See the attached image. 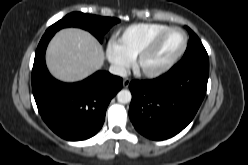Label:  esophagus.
I'll use <instances>...</instances> for the list:
<instances>
[{"label": "esophagus", "instance_id": "34e87169", "mask_svg": "<svg viewBox=\"0 0 248 165\" xmlns=\"http://www.w3.org/2000/svg\"><path fill=\"white\" fill-rule=\"evenodd\" d=\"M130 82H131V80L129 78H125L123 80V87L127 88L129 86Z\"/></svg>", "mask_w": 248, "mask_h": 165}]
</instances>
